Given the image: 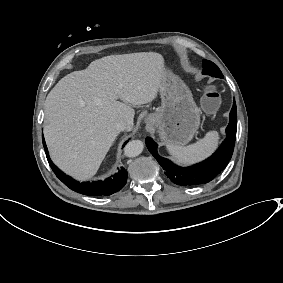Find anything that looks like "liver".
I'll use <instances>...</instances> for the list:
<instances>
[{"mask_svg": "<svg viewBox=\"0 0 283 283\" xmlns=\"http://www.w3.org/2000/svg\"><path fill=\"white\" fill-rule=\"evenodd\" d=\"M166 77L157 53L110 55L63 77L44 110L45 139L56 164L78 178L94 176L120 133L115 124L124 120L133 127L135 111L128 104L154 102Z\"/></svg>", "mask_w": 283, "mask_h": 283, "instance_id": "1", "label": "liver"}]
</instances>
